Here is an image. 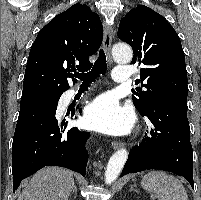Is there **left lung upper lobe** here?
<instances>
[{
    "instance_id": "left-lung-upper-lobe-1",
    "label": "left lung upper lobe",
    "mask_w": 201,
    "mask_h": 200,
    "mask_svg": "<svg viewBox=\"0 0 201 200\" xmlns=\"http://www.w3.org/2000/svg\"><path fill=\"white\" fill-rule=\"evenodd\" d=\"M118 37L133 49L131 64L145 65L140 69L145 89L132 90L133 103L140 113L162 97L187 98V71L181 41L164 17L138 5L121 19Z\"/></svg>"
}]
</instances>
